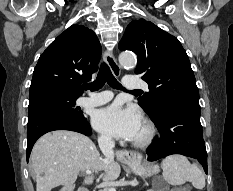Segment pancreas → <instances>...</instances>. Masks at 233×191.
<instances>
[{"label":"pancreas","instance_id":"obj_1","mask_svg":"<svg viewBox=\"0 0 233 191\" xmlns=\"http://www.w3.org/2000/svg\"><path fill=\"white\" fill-rule=\"evenodd\" d=\"M100 191H109V187H105L104 189H102Z\"/></svg>","mask_w":233,"mask_h":191}]
</instances>
